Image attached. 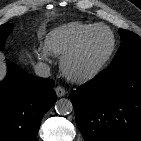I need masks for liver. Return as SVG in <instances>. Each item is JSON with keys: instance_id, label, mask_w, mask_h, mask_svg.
<instances>
[{"instance_id": "liver-1", "label": "liver", "mask_w": 141, "mask_h": 141, "mask_svg": "<svg viewBox=\"0 0 141 141\" xmlns=\"http://www.w3.org/2000/svg\"><path fill=\"white\" fill-rule=\"evenodd\" d=\"M5 73H6V67L5 64L3 63V55L0 54V80L4 78Z\"/></svg>"}]
</instances>
